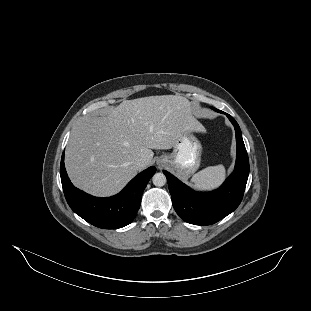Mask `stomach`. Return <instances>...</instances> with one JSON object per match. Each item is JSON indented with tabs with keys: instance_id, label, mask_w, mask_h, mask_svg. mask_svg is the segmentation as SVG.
<instances>
[{
	"instance_id": "obj_1",
	"label": "stomach",
	"mask_w": 311,
	"mask_h": 311,
	"mask_svg": "<svg viewBox=\"0 0 311 311\" xmlns=\"http://www.w3.org/2000/svg\"><path fill=\"white\" fill-rule=\"evenodd\" d=\"M200 155L199 141L191 132H188L178 141L170 156L162 155L156 161L165 158L166 163L174 167L179 176L187 178L198 169Z\"/></svg>"
}]
</instances>
